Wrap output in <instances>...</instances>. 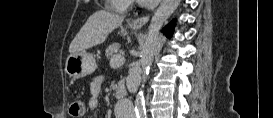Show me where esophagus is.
<instances>
[{
  "mask_svg": "<svg viewBox=\"0 0 273 118\" xmlns=\"http://www.w3.org/2000/svg\"><path fill=\"white\" fill-rule=\"evenodd\" d=\"M150 16H143L141 18L135 19L132 21V27L134 28H141L142 26H144L148 21H149Z\"/></svg>",
  "mask_w": 273,
  "mask_h": 118,
  "instance_id": "34e87169",
  "label": "esophagus"
}]
</instances>
